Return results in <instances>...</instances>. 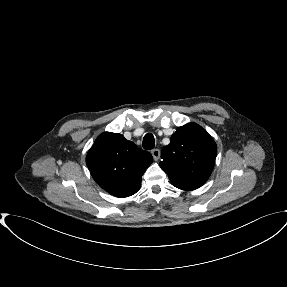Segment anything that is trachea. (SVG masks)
I'll return each mask as SVG.
<instances>
[{
  "label": "trachea",
  "instance_id": "3493384b",
  "mask_svg": "<svg viewBox=\"0 0 287 287\" xmlns=\"http://www.w3.org/2000/svg\"><path fill=\"white\" fill-rule=\"evenodd\" d=\"M155 147V139L151 133H148L143 138V148L151 150Z\"/></svg>",
  "mask_w": 287,
  "mask_h": 287
}]
</instances>
